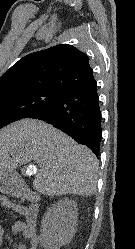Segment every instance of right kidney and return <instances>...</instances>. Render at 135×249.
Wrapping results in <instances>:
<instances>
[{"mask_svg": "<svg viewBox=\"0 0 135 249\" xmlns=\"http://www.w3.org/2000/svg\"><path fill=\"white\" fill-rule=\"evenodd\" d=\"M77 204L64 198L55 203L42 219L40 244L44 249H60L77 230Z\"/></svg>", "mask_w": 135, "mask_h": 249, "instance_id": "ca27d5eb", "label": "right kidney"}]
</instances>
